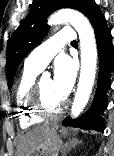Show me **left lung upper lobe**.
Here are the masks:
<instances>
[{"label":"left lung upper lobe","instance_id":"1","mask_svg":"<svg viewBox=\"0 0 114 156\" xmlns=\"http://www.w3.org/2000/svg\"><path fill=\"white\" fill-rule=\"evenodd\" d=\"M95 4L93 0H34L28 16L12 34L7 46L6 75L9 89L23 58L47 35V17L60 8L77 9L84 15Z\"/></svg>","mask_w":114,"mask_h":156}]
</instances>
